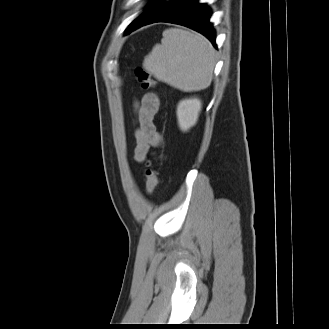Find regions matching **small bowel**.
<instances>
[{
	"instance_id": "obj_1",
	"label": "small bowel",
	"mask_w": 329,
	"mask_h": 329,
	"mask_svg": "<svg viewBox=\"0 0 329 329\" xmlns=\"http://www.w3.org/2000/svg\"><path fill=\"white\" fill-rule=\"evenodd\" d=\"M159 104V98L154 93L145 94L141 101L135 104L138 128L135 131L134 159L139 163L146 159L152 147L162 143V137L154 122Z\"/></svg>"
}]
</instances>
